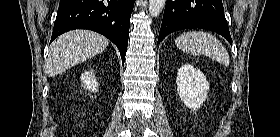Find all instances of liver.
Segmentation results:
<instances>
[{"mask_svg":"<svg viewBox=\"0 0 280 137\" xmlns=\"http://www.w3.org/2000/svg\"><path fill=\"white\" fill-rule=\"evenodd\" d=\"M106 37L89 30H74L58 37L51 45L46 72L57 75L99 53L108 46Z\"/></svg>","mask_w":280,"mask_h":137,"instance_id":"6515ba94","label":"liver"}]
</instances>
